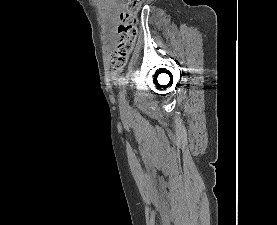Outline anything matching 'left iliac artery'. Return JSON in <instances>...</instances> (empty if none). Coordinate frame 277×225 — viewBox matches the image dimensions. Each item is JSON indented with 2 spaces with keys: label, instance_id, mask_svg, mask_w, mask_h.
<instances>
[{
  "label": "left iliac artery",
  "instance_id": "44dca946",
  "mask_svg": "<svg viewBox=\"0 0 277 225\" xmlns=\"http://www.w3.org/2000/svg\"><path fill=\"white\" fill-rule=\"evenodd\" d=\"M126 94H127L126 88H123L119 93V104L122 112L126 110V106H127Z\"/></svg>",
  "mask_w": 277,
  "mask_h": 225
}]
</instances>
